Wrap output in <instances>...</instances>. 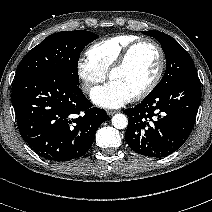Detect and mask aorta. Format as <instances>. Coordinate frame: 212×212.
I'll list each match as a JSON object with an SVG mask.
<instances>
[{"label": "aorta", "instance_id": "1", "mask_svg": "<svg viewBox=\"0 0 212 212\" xmlns=\"http://www.w3.org/2000/svg\"><path fill=\"white\" fill-rule=\"evenodd\" d=\"M112 125L117 129H124L128 125V118L124 114H115L112 117Z\"/></svg>", "mask_w": 212, "mask_h": 212}]
</instances>
